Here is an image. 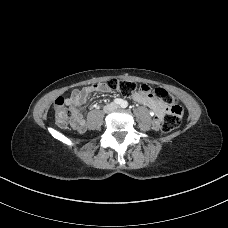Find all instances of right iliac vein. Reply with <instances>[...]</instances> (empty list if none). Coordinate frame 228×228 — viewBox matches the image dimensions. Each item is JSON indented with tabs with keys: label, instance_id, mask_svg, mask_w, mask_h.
I'll use <instances>...</instances> for the list:
<instances>
[{
	"label": "right iliac vein",
	"instance_id": "right-iliac-vein-1",
	"mask_svg": "<svg viewBox=\"0 0 228 228\" xmlns=\"http://www.w3.org/2000/svg\"><path fill=\"white\" fill-rule=\"evenodd\" d=\"M111 109V106L107 107V110H110Z\"/></svg>",
	"mask_w": 228,
	"mask_h": 228
}]
</instances>
